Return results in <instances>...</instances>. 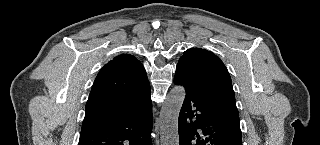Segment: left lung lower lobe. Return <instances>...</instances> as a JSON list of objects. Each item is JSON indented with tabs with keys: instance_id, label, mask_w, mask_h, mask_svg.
<instances>
[{
	"instance_id": "left-lung-lower-lobe-1",
	"label": "left lung lower lobe",
	"mask_w": 320,
	"mask_h": 145,
	"mask_svg": "<svg viewBox=\"0 0 320 145\" xmlns=\"http://www.w3.org/2000/svg\"><path fill=\"white\" fill-rule=\"evenodd\" d=\"M174 84L186 90L179 114V145H242L239 122L216 105L213 81L178 63Z\"/></svg>"
}]
</instances>
